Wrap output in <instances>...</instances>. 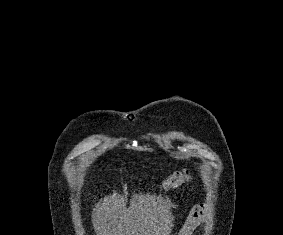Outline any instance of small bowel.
<instances>
[{
    "instance_id": "obj_1",
    "label": "small bowel",
    "mask_w": 283,
    "mask_h": 235,
    "mask_svg": "<svg viewBox=\"0 0 283 235\" xmlns=\"http://www.w3.org/2000/svg\"><path fill=\"white\" fill-rule=\"evenodd\" d=\"M205 207L203 205H199L193 208L189 214V218L186 222V227L190 230L194 228L198 223H200L205 218Z\"/></svg>"
}]
</instances>
